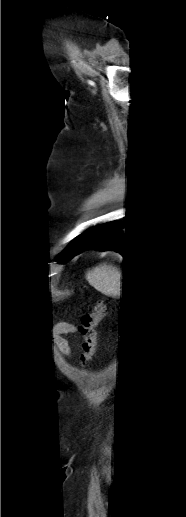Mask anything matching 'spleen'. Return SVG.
<instances>
[{"mask_svg": "<svg viewBox=\"0 0 186 517\" xmlns=\"http://www.w3.org/2000/svg\"><path fill=\"white\" fill-rule=\"evenodd\" d=\"M86 280L97 291L107 296H121L122 273L118 267L106 263L100 264L86 273Z\"/></svg>", "mask_w": 186, "mask_h": 517, "instance_id": "1", "label": "spleen"}]
</instances>
